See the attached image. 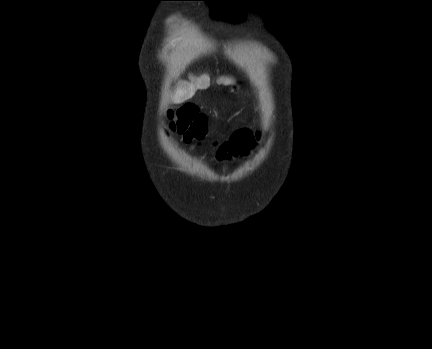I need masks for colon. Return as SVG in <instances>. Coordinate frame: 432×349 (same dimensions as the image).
<instances>
[{
    "label": "colon",
    "instance_id": "colon-1",
    "mask_svg": "<svg viewBox=\"0 0 432 349\" xmlns=\"http://www.w3.org/2000/svg\"><path fill=\"white\" fill-rule=\"evenodd\" d=\"M169 127L184 137L188 143L202 140L207 133V119L191 104L170 112Z\"/></svg>",
    "mask_w": 432,
    "mask_h": 349
}]
</instances>
